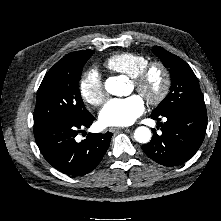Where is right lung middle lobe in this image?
Here are the masks:
<instances>
[{
    "mask_svg": "<svg viewBox=\"0 0 221 221\" xmlns=\"http://www.w3.org/2000/svg\"><path fill=\"white\" fill-rule=\"evenodd\" d=\"M93 53V50H84L68 54L47 72L37 92L34 128L78 120L89 113L83 104L78 82L83 66Z\"/></svg>",
    "mask_w": 221,
    "mask_h": 221,
    "instance_id": "dd1d6c3e",
    "label": "right lung middle lobe"
}]
</instances>
